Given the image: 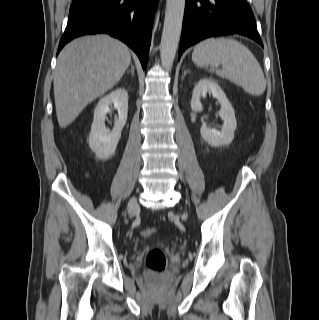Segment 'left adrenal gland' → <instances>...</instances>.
Listing matches in <instances>:
<instances>
[{
  "mask_svg": "<svg viewBox=\"0 0 319 320\" xmlns=\"http://www.w3.org/2000/svg\"><path fill=\"white\" fill-rule=\"evenodd\" d=\"M186 74H187V71L185 70V71H184V75H183V77H185V76H186Z\"/></svg>",
  "mask_w": 319,
  "mask_h": 320,
  "instance_id": "left-adrenal-gland-1",
  "label": "left adrenal gland"
}]
</instances>
